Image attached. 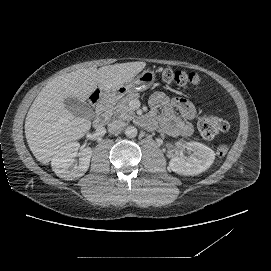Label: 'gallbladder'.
<instances>
[{"label":"gallbladder","instance_id":"1","mask_svg":"<svg viewBox=\"0 0 271 271\" xmlns=\"http://www.w3.org/2000/svg\"><path fill=\"white\" fill-rule=\"evenodd\" d=\"M65 108L75 116L93 118L94 112L89 104L79 101L77 98H67L64 101Z\"/></svg>","mask_w":271,"mask_h":271}]
</instances>
